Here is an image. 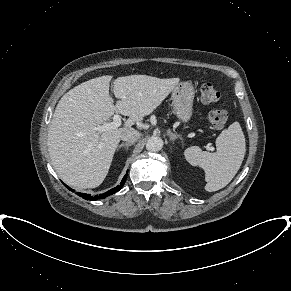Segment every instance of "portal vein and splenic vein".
<instances>
[{
	"label": "portal vein and splenic vein",
	"instance_id": "18ae733b",
	"mask_svg": "<svg viewBox=\"0 0 291 291\" xmlns=\"http://www.w3.org/2000/svg\"><path fill=\"white\" fill-rule=\"evenodd\" d=\"M119 126H121V117L120 115L115 114L113 116V122L104 123L103 125L94 127V130L101 133L104 131L118 128Z\"/></svg>",
	"mask_w": 291,
	"mask_h": 291
}]
</instances>
